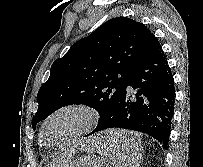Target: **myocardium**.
I'll return each instance as SVG.
<instances>
[{"label": "myocardium", "mask_w": 203, "mask_h": 167, "mask_svg": "<svg viewBox=\"0 0 203 167\" xmlns=\"http://www.w3.org/2000/svg\"><path fill=\"white\" fill-rule=\"evenodd\" d=\"M65 113H75L78 114L81 118L80 125L71 132L68 136L64 137L58 142L55 143H47L45 140V132L46 128L49 125L50 122H52L55 118L58 116L65 114ZM98 120V116L95 113L94 110H92L90 107L82 105V104H67L63 105L57 109H55L53 112H51L41 123L40 127V139L41 142L45 146L50 147H59L62 145H65L71 141H74L87 133H89L94 126L96 125Z\"/></svg>", "instance_id": "obj_1"}]
</instances>
